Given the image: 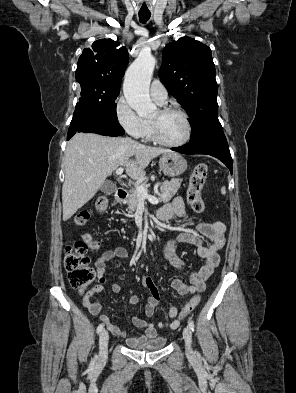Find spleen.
<instances>
[{"instance_id": "3e777b00", "label": "spleen", "mask_w": 296, "mask_h": 393, "mask_svg": "<svg viewBox=\"0 0 296 393\" xmlns=\"http://www.w3.org/2000/svg\"><path fill=\"white\" fill-rule=\"evenodd\" d=\"M221 193H222L223 195L226 194V188H225V187H222V188H221Z\"/></svg>"}]
</instances>
